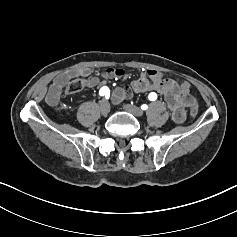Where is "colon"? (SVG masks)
Returning <instances> with one entry per match:
<instances>
[{
    "mask_svg": "<svg viewBox=\"0 0 237 237\" xmlns=\"http://www.w3.org/2000/svg\"><path fill=\"white\" fill-rule=\"evenodd\" d=\"M85 85H86V81L84 79H81V78L74 79L68 84L66 88V92L69 94L79 92L85 87ZM190 115L192 117H196L198 115V106L196 103H194L191 106Z\"/></svg>",
    "mask_w": 237,
    "mask_h": 237,
    "instance_id": "1",
    "label": "colon"
}]
</instances>
